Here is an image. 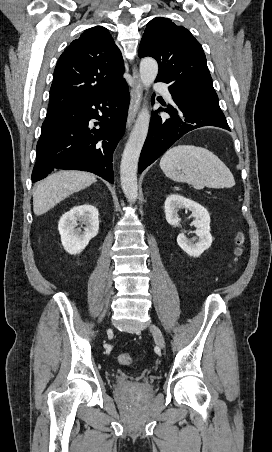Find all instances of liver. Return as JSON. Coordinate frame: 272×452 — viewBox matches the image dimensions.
<instances>
[{
    "instance_id": "6515ba94",
    "label": "liver",
    "mask_w": 272,
    "mask_h": 452,
    "mask_svg": "<svg viewBox=\"0 0 272 452\" xmlns=\"http://www.w3.org/2000/svg\"><path fill=\"white\" fill-rule=\"evenodd\" d=\"M96 177L84 171L66 170L49 175L41 181L33 194V211L35 215H42L55 205L92 183Z\"/></svg>"
}]
</instances>
